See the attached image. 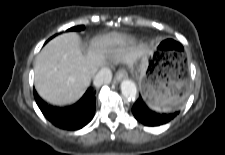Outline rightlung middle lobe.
Wrapping results in <instances>:
<instances>
[{"mask_svg": "<svg viewBox=\"0 0 225 155\" xmlns=\"http://www.w3.org/2000/svg\"><path fill=\"white\" fill-rule=\"evenodd\" d=\"M85 27L83 25L81 26H76V27H72L70 29H68V31H80L83 30Z\"/></svg>", "mask_w": 225, "mask_h": 155, "instance_id": "right-lung-middle-lobe-1", "label": "right lung middle lobe"}]
</instances>
